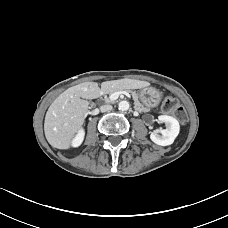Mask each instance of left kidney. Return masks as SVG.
<instances>
[{"mask_svg": "<svg viewBox=\"0 0 228 228\" xmlns=\"http://www.w3.org/2000/svg\"><path fill=\"white\" fill-rule=\"evenodd\" d=\"M159 121L165 123L166 129L153 131L150 135V139L157 145L168 146L173 144L174 140L180 132L179 122L168 115H160Z\"/></svg>", "mask_w": 228, "mask_h": 228, "instance_id": "5707ae66", "label": "left kidney"}]
</instances>
